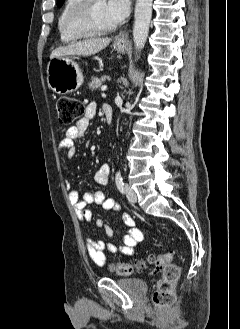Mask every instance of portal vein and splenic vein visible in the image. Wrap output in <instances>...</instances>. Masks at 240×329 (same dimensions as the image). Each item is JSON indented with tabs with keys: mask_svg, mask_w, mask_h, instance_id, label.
Wrapping results in <instances>:
<instances>
[{
	"mask_svg": "<svg viewBox=\"0 0 240 329\" xmlns=\"http://www.w3.org/2000/svg\"><path fill=\"white\" fill-rule=\"evenodd\" d=\"M107 89V86L106 85H103L102 87H101V90L102 91H105Z\"/></svg>",
	"mask_w": 240,
	"mask_h": 329,
	"instance_id": "obj_1",
	"label": "portal vein and splenic vein"
}]
</instances>
